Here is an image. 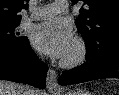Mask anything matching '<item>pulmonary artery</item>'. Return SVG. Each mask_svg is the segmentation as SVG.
I'll return each mask as SVG.
<instances>
[{
  "mask_svg": "<svg viewBox=\"0 0 119 95\" xmlns=\"http://www.w3.org/2000/svg\"><path fill=\"white\" fill-rule=\"evenodd\" d=\"M68 10V3L66 0H58L52 4L38 7L32 14V19L39 20L53 17L56 14L64 13Z\"/></svg>",
  "mask_w": 119,
  "mask_h": 95,
  "instance_id": "pulmonary-artery-1",
  "label": "pulmonary artery"
}]
</instances>
